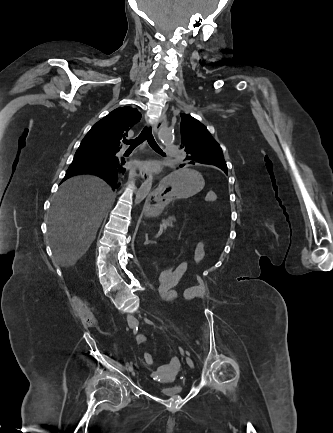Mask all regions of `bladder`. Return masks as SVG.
Segmentation results:
<instances>
[{"mask_svg": "<svg viewBox=\"0 0 333 433\" xmlns=\"http://www.w3.org/2000/svg\"><path fill=\"white\" fill-rule=\"evenodd\" d=\"M182 393H183V387L178 384L165 386L159 390V394L167 398L178 397L181 396Z\"/></svg>", "mask_w": 333, "mask_h": 433, "instance_id": "obj_1", "label": "bladder"}]
</instances>
